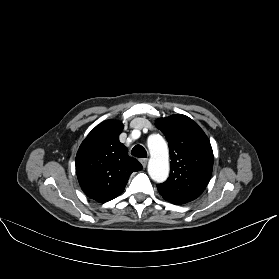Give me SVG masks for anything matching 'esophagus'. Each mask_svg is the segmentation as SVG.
<instances>
[{"label":"esophagus","mask_w":279,"mask_h":279,"mask_svg":"<svg viewBox=\"0 0 279 279\" xmlns=\"http://www.w3.org/2000/svg\"><path fill=\"white\" fill-rule=\"evenodd\" d=\"M140 162L143 165V167L145 168L147 166L148 159L147 158L140 159Z\"/></svg>","instance_id":"obj_1"}]
</instances>
